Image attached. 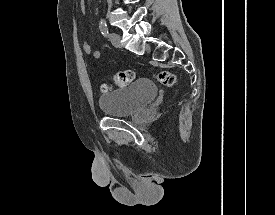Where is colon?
I'll return each instance as SVG.
<instances>
[{
	"instance_id": "1",
	"label": "colon",
	"mask_w": 275,
	"mask_h": 215,
	"mask_svg": "<svg viewBox=\"0 0 275 215\" xmlns=\"http://www.w3.org/2000/svg\"><path fill=\"white\" fill-rule=\"evenodd\" d=\"M155 78L159 83L168 87H173L177 84L176 76L172 72L166 70L158 71L155 74ZM134 79L135 73L132 70H120L115 73L113 77V84L105 83L102 85V89L107 92L114 87L122 88L130 84Z\"/></svg>"
}]
</instances>
